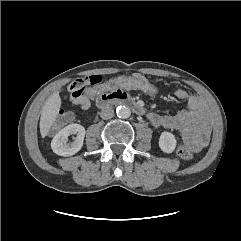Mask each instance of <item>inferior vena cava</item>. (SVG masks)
Masks as SVG:
<instances>
[{
	"label": "inferior vena cava",
	"instance_id": "1",
	"mask_svg": "<svg viewBox=\"0 0 241 241\" xmlns=\"http://www.w3.org/2000/svg\"><path fill=\"white\" fill-rule=\"evenodd\" d=\"M102 119H111L114 116V110L111 107L103 109L100 113Z\"/></svg>",
	"mask_w": 241,
	"mask_h": 241
}]
</instances>
